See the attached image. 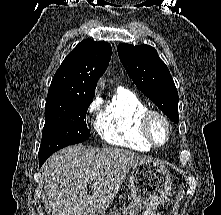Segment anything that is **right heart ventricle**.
I'll use <instances>...</instances> for the list:
<instances>
[{
	"label": "right heart ventricle",
	"instance_id": "right-heart-ventricle-1",
	"mask_svg": "<svg viewBox=\"0 0 221 215\" xmlns=\"http://www.w3.org/2000/svg\"><path fill=\"white\" fill-rule=\"evenodd\" d=\"M148 109L135 93L118 89L112 102L101 113L97 130L101 138L110 145L148 152L153 146L141 130V117Z\"/></svg>",
	"mask_w": 221,
	"mask_h": 215
}]
</instances>
